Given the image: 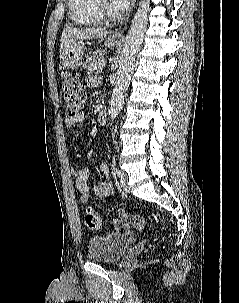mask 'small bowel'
Listing matches in <instances>:
<instances>
[{"mask_svg":"<svg viewBox=\"0 0 239 303\" xmlns=\"http://www.w3.org/2000/svg\"><path fill=\"white\" fill-rule=\"evenodd\" d=\"M94 80H90V83H93ZM84 120V116L79 114L74 117H67L65 119V124L68 127L76 126ZM100 172L102 173L104 180L98 183L95 186H90L88 183L89 178V169L86 167L73 169L72 174L75 178V184L79 192L81 193V202L87 203L91 199L93 193L99 197H105L110 195L113 192V186L109 180L108 175V164L106 162H101L99 165ZM129 219H132L133 222L128 223L126 221H116L113 223L115 228L121 232L128 230L130 227L141 228L144 224L142 217L140 216H130ZM121 228H118V227Z\"/></svg>","mask_w":239,"mask_h":303,"instance_id":"small-bowel-1","label":"small bowel"}]
</instances>
